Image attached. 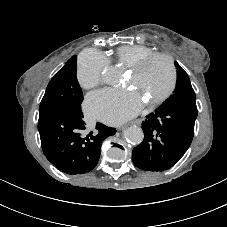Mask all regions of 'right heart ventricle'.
Returning <instances> with one entry per match:
<instances>
[{
    "instance_id": "1",
    "label": "right heart ventricle",
    "mask_w": 227,
    "mask_h": 227,
    "mask_svg": "<svg viewBox=\"0 0 227 227\" xmlns=\"http://www.w3.org/2000/svg\"><path fill=\"white\" fill-rule=\"evenodd\" d=\"M153 53H156L153 48L144 45H123L113 51V58L117 64L129 67Z\"/></svg>"
}]
</instances>
